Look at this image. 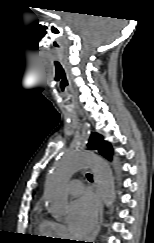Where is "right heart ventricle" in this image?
I'll return each instance as SVG.
<instances>
[{
	"label": "right heart ventricle",
	"mask_w": 154,
	"mask_h": 243,
	"mask_svg": "<svg viewBox=\"0 0 154 243\" xmlns=\"http://www.w3.org/2000/svg\"><path fill=\"white\" fill-rule=\"evenodd\" d=\"M38 232L41 235H43L45 237H49V238H52L55 236L53 227H52V222L47 219H44V218H40V220H39Z\"/></svg>",
	"instance_id": "right-heart-ventricle-1"
}]
</instances>
